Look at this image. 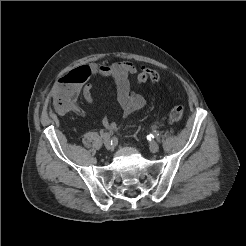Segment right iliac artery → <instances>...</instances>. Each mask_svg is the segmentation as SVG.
<instances>
[{"instance_id":"1","label":"right iliac artery","mask_w":246,"mask_h":246,"mask_svg":"<svg viewBox=\"0 0 246 246\" xmlns=\"http://www.w3.org/2000/svg\"><path fill=\"white\" fill-rule=\"evenodd\" d=\"M102 137H103L104 139H107V138H109V137H110V134H109V133H107V132L102 133Z\"/></svg>"}]
</instances>
